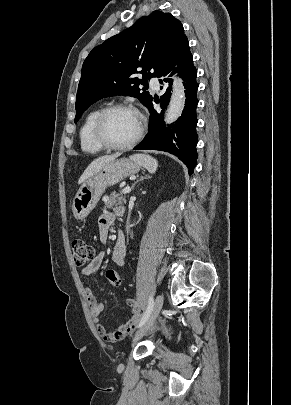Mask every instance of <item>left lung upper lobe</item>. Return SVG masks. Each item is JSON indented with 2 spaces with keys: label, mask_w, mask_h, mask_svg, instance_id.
<instances>
[{
  "label": "left lung upper lobe",
  "mask_w": 291,
  "mask_h": 405,
  "mask_svg": "<svg viewBox=\"0 0 291 405\" xmlns=\"http://www.w3.org/2000/svg\"><path fill=\"white\" fill-rule=\"evenodd\" d=\"M185 37L178 19L154 11L95 47L82 66L75 123L91 104L104 97L131 95L147 106L152 96L139 84L157 77ZM136 73H142L143 79Z\"/></svg>",
  "instance_id": "1"
}]
</instances>
